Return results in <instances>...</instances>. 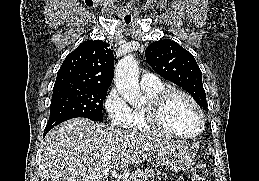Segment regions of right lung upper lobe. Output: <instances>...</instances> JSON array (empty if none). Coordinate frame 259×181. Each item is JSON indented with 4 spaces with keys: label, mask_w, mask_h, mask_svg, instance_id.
Returning a JSON list of instances; mask_svg holds the SVG:
<instances>
[{
    "label": "right lung upper lobe",
    "mask_w": 259,
    "mask_h": 181,
    "mask_svg": "<svg viewBox=\"0 0 259 181\" xmlns=\"http://www.w3.org/2000/svg\"><path fill=\"white\" fill-rule=\"evenodd\" d=\"M113 66L112 46L101 40L84 41L63 61L54 88L108 89L114 77Z\"/></svg>",
    "instance_id": "obj_1"
}]
</instances>
